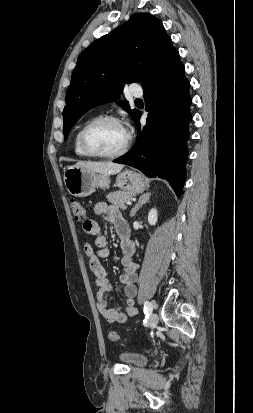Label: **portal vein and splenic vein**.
<instances>
[{"label":"portal vein and splenic vein","mask_w":253,"mask_h":413,"mask_svg":"<svg viewBox=\"0 0 253 413\" xmlns=\"http://www.w3.org/2000/svg\"><path fill=\"white\" fill-rule=\"evenodd\" d=\"M126 204H127V205H131V201H127Z\"/></svg>","instance_id":"portal-vein-and-splenic-vein-1"}]
</instances>
